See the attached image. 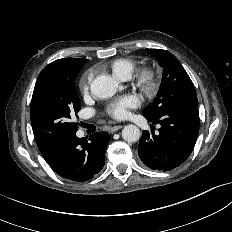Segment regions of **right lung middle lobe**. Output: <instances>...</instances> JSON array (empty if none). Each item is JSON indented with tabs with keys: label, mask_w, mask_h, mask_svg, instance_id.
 I'll return each instance as SVG.
<instances>
[{
	"label": "right lung middle lobe",
	"mask_w": 232,
	"mask_h": 232,
	"mask_svg": "<svg viewBox=\"0 0 232 232\" xmlns=\"http://www.w3.org/2000/svg\"><path fill=\"white\" fill-rule=\"evenodd\" d=\"M86 61L80 58L59 59L47 65L38 76L30 116L42 154L53 153L59 142L78 130V124L71 121L81 109L74 81Z\"/></svg>",
	"instance_id": "right-lung-middle-lobe-1"
}]
</instances>
